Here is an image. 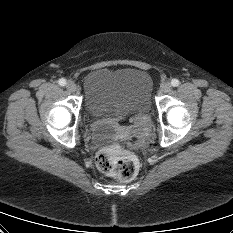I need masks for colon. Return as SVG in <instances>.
Wrapping results in <instances>:
<instances>
[{
    "label": "colon",
    "instance_id": "1",
    "mask_svg": "<svg viewBox=\"0 0 233 233\" xmlns=\"http://www.w3.org/2000/svg\"><path fill=\"white\" fill-rule=\"evenodd\" d=\"M138 126L143 130L144 125L142 121H138ZM96 165L103 173L121 181L133 179L138 170L135 158L123 153L117 147L101 150L97 154Z\"/></svg>",
    "mask_w": 233,
    "mask_h": 233
}]
</instances>
